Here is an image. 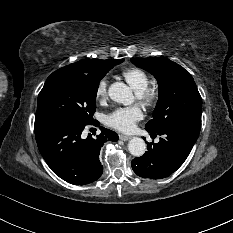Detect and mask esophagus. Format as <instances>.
Returning a JSON list of instances; mask_svg holds the SVG:
<instances>
[{
    "instance_id": "34e87169",
    "label": "esophagus",
    "mask_w": 233,
    "mask_h": 233,
    "mask_svg": "<svg viewBox=\"0 0 233 233\" xmlns=\"http://www.w3.org/2000/svg\"><path fill=\"white\" fill-rule=\"evenodd\" d=\"M119 139L122 140V141H128V140L131 139V136L120 134Z\"/></svg>"
}]
</instances>
